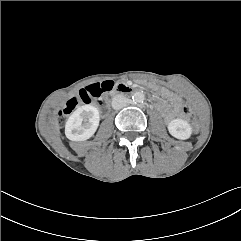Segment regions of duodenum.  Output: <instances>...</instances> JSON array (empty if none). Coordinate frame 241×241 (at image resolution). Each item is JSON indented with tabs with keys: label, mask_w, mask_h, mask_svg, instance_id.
<instances>
[{
	"label": "duodenum",
	"mask_w": 241,
	"mask_h": 241,
	"mask_svg": "<svg viewBox=\"0 0 241 241\" xmlns=\"http://www.w3.org/2000/svg\"><path fill=\"white\" fill-rule=\"evenodd\" d=\"M112 89H113V92H116V93H127L130 91V87L124 83H120L117 85L113 84L112 87L110 88V90H112Z\"/></svg>",
	"instance_id": "duodenum-1"
}]
</instances>
